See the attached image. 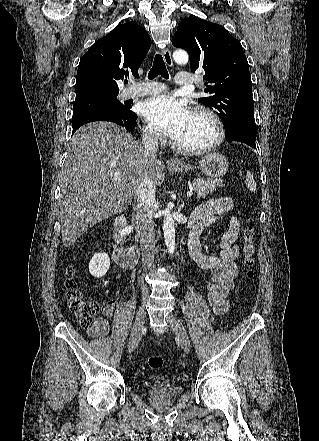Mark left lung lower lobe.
I'll return each mask as SVG.
<instances>
[{
    "label": "left lung lower lobe",
    "instance_id": "0a47b994",
    "mask_svg": "<svg viewBox=\"0 0 319 441\" xmlns=\"http://www.w3.org/2000/svg\"><path fill=\"white\" fill-rule=\"evenodd\" d=\"M256 132L247 128H238L234 130L229 135H226V140L228 143L232 141H238L242 143H246L247 145L256 148L255 140H256Z\"/></svg>",
    "mask_w": 319,
    "mask_h": 441
}]
</instances>
